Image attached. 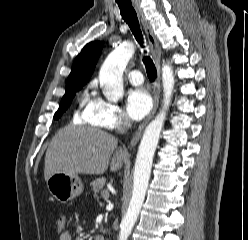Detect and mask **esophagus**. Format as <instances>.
<instances>
[{"mask_svg":"<svg viewBox=\"0 0 248 240\" xmlns=\"http://www.w3.org/2000/svg\"><path fill=\"white\" fill-rule=\"evenodd\" d=\"M134 8H135L140 20H141V23L143 25V28L146 32V35H147V38L149 41L150 50H151V53L154 57L155 64H156L157 78H156V82L154 84V90H153V109H152L151 113L149 114V116L147 117V119L136 130V132H135V134H134V136L130 142V148H133L137 144V142L141 138L142 132H143L146 124L149 122V120L155 114L157 107H158L159 95H160V90H161V85H160L161 48H160V45H159V43H158V41H157L153 31H152V28H151L148 20L146 19L141 7L135 3Z\"/></svg>","mask_w":248,"mask_h":240,"instance_id":"1","label":"esophagus"}]
</instances>
